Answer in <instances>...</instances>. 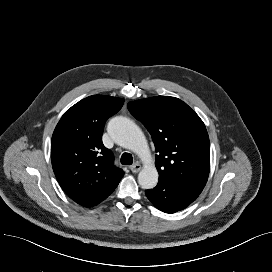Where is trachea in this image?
Instances as JSON below:
<instances>
[{"mask_svg": "<svg viewBox=\"0 0 272 272\" xmlns=\"http://www.w3.org/2000/svg\"><path fill=\"white\" fill-rule=\"evenodd\" d=\"M121 163L124 165H131L133 163V157L129 153H123L121 156Z\"/></svg>", "mask_w": 272, "mask_h": 272, "instance_id": "trachea-1", "label": "trachea"}]
</instances>
